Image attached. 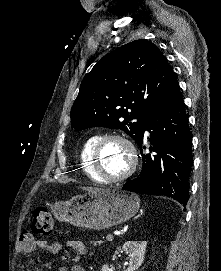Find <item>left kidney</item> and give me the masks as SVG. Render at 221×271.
Instances as JSON below:
<instances>
[{
	"label": "left kidney",
	"instance_id": "obj_1",
	"mask_svg": "<svg viewBox=\"0 0 221 271\" xmlns=\"http://www.w3.org/2000/svg\"><path fill=\"white\" fill-rule=\"evenodd\" d=\"M147 247V241H125L123 243V251L128 253V267L124 269V271H136L138 267H140L141 263H143L145 251ZM101 271H113L107 263L102 265Z\"/></svg>",
	"mask_w": 221,
	"mask_h": 271
}]
</instances>
